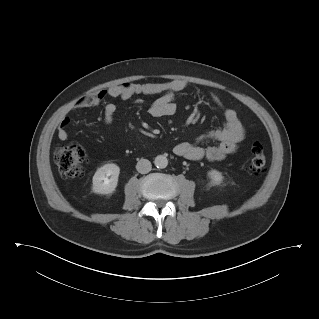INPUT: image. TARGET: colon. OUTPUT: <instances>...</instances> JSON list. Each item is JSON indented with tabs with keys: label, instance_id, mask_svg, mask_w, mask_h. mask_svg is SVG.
I'll return each instance as SVG.
<instances>
[{
	"label": "colon",
	"instance_id": "5ec220e1",
	"mask_svg": "<svg viewBox=\"0 0 319 319\" xmlns=\"http://www.w3.org/2000/svg\"><path fill=\"white\" fill-rule=\"evenodd\" d=\"M54 159L60 174L64 178H76L81 175L85 160L83 149L75 144L59 145L54 151ZM266 157L260 144H253L248 164L250 171L262 173L265 170Z\"/></svg>",
	"mask_w": 319,
	"mask_h": 319
}]
</instances>
